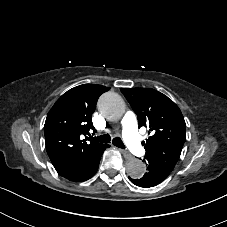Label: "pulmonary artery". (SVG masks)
<instances>
[{
    "label": "pulmonary artery",
    "instance_id": "pulmonary-artery-1",
    "mask_svg": "<svg viewBox=\"0 0 227 227\" xmlns=\"http://www.w3.org/2000/svg\"><path fill=\"white\" fill-rule=\"evenodd\" d=\"M136 118L135 112L128 110L124 116L122 125L124 126L125 132L128 133L125 138L127 148L130 149L132 153L139 154L143 150V145L139 142L138 134L135 133L137 130V125L135 123Z\"/></svg>",
    "mask_w": 227,
    "mask_h": 227
}]
</instances>
